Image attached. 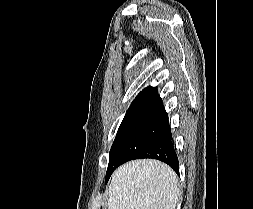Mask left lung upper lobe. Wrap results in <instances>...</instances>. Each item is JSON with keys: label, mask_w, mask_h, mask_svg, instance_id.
<instances>
[{"label": "left lung upper lobe", "mask_w": 253, "mask_h": 209, "mask_svg": "<svg viewBox=\"0 0 253 209\" xmlns=\"http://www.w3.org/2000/svg\"><path fill=\"white\" fill-rule=\"evenodd\" d=\"M168 125V115L157 89L151 86L145 88L124 116L109 153V165L139 153Z\"/></svg>", "instance_id": "5c2ea615"}]
</instances>
